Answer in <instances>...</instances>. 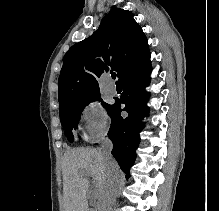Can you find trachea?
<instances>
[{
    "instance_id": "trachea-1",
    "label": "trachea",
    "mask_w": 219,
    "mask_h": 211,
    "mask_svg": "<svg viewBox=\"0 0 219 211\" xmlns=\"http://www.w3.org/2000/svg\"><path fill=\"white\" fill-rule=\"evenodd\" d=\"M111 77L115 79L116 78V74L114 72H111ZM116 86H120L118 81H116Z\"/></svg>"
}]
</instances>
